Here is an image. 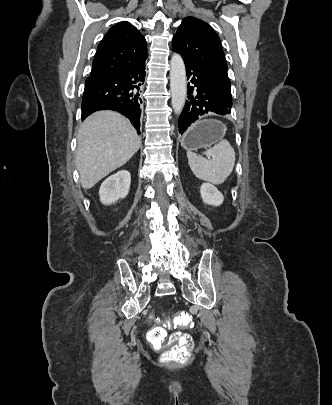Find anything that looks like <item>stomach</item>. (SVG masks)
<instances>
[{
  "label": "stomach",
  "mask_w": 332,
  "mask_h": 405,
  "mask_svg": "<svg viewBox=\"0 0 332 405\" xmlns=\"http://www.w3.org/2000/svg\"><path fill=\"white\" fill-rule=\"evenodd\" d=\"M226 126L214 119L195 122L184 134L181 145L188 151L207 148L224 138Z\"/></svg>",
  "instance_id": "0dacf381"
}]
</instances>
